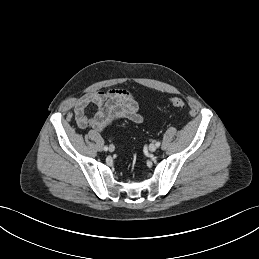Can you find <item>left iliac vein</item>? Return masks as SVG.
<instances>
[{"instance_id": "obj_1", "label": "left iliac vein", "mask_w": 259, "mask_h": 259, "mask_svg": "<svg viewBox=\"0 0 259 259\" xmlns=\"http://www.w3.org/2000/svg\"><path fill=\"white\" fill-rule=\"evenodd\" d=\"M157 150V146H156V144H150L149 145V151L150 152H155Z\"/></svg>"}]
</instances>
